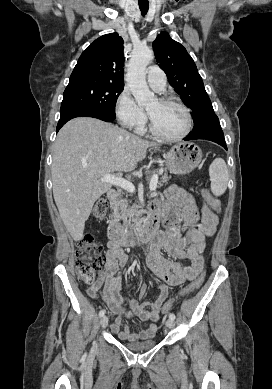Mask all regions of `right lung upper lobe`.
Instances as JSON below:
<instances>
[{"mask_svg": "<svg viewBox=\"0 0 272 389\" xmlns=\"http://www.w3.org/2000/svg\"><path fill=\"white\" fill-rule=\"evenodd\" d=\"M123 39L117 33L96 39L81 54L70 83L94 81L124 85Z\"/></svg>", "mask_w": 272, "mask_h": 389, "instance_id": "obj_1", "label": "right lung upper lobe"}]
</instances>
